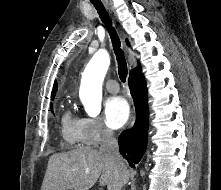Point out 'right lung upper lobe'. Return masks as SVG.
I'll return each mask as SVG.
<instances>
[{
    "mask_svg": "<svg viewBox=\"0 0 221 190\" xmlns=\"http://www.w3.org/2000/svg\"><path fill=\"white\" fill-rule=\"evenodd\" d=\"M126 42L128 44V40H126ZM138 74H141L140 67L133 69L130 73V76H134V75H138ZM56 92H57V82L55 81L54 86H53V90H52V93H51V99L52 100L54 99Z\"/></svg>",
    "mask_w": 221,
    "mask_h": 190,
    "instance_id": "right-lung-upper-lobe-1",
    "label": "right lung upper lobe"
}]
</instances>
